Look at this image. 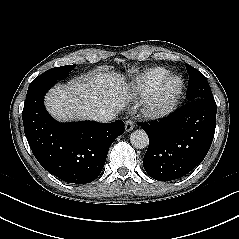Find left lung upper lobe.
Masks as SVG:
<instances>
[{
    "label": "left lung upper lobe",
    "instance_id": "1",
    "mask_svg": "<svg viewBox=\"0 0 239 239\" xmlns=\"http://www.w3.org/2000/svg\"><path fill=\"white\" fill-rule=\"evenodd\" d=\"M186 69L189 74L187 100L193 101L201 98L213 99L214 97L206 78L189 64H186Z\"/></svg>",
    "mask_w": 239,
    "mask_h": 239
}]
</instances>
